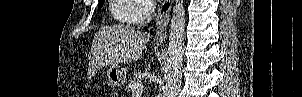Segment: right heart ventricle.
<instances>
[{
	"instance_id": "1",
	"label": "right heart ventricle",
	"mask_w": 302,
	"mask_h": 97,
	"mask_svg": "<svg viewBox=\"0 0 302 97\" xmlns=\"http://www.w3.org/2000/svg\"><path fill=\"white\" fill-rule=\"evenodd\" d=\"M137 3L134 0H112L110 13L113 19L122 25H134Z\"/></svg>"
}]
</instances>
